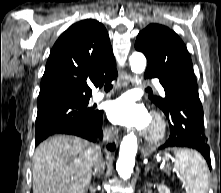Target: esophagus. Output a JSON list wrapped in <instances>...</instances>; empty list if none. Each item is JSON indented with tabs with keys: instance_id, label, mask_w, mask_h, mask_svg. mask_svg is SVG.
<instances>
[{
	"instance_id": "esophagus-1",
	"label": "esophagus",
	"mask_w": 221,
	"mask_h": 193,
	"mask_svg": "<svg viewBox=\"0 0 221 193\" xmlns=\"http://www.w3.org/2000/svg\"><path fill=\"white\" fill-rule=\"evenodd\" d=\"M120 78L123 82V85H125V86H127L132 81V77L128 73L122 74Z\"/></svg>"
}]
</instances>
